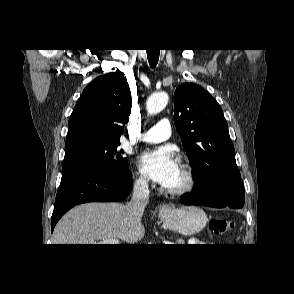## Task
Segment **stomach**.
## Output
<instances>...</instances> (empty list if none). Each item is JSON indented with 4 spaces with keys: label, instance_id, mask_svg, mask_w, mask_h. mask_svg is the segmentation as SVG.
<instances>
[{
    "label": "stomach",
    "instance_id": "stomach-1",
    "mask_svg": "<svg viewBox=\"0 0 294 294\" xmlns=\"http://www.w3.org/2000/svg\"><path fill=\"white\" fill-rule=\"evenodd\" d=\"M160 217L168 229L185 236L200 232L208 220L205 212L194 206L169 207L160 213Z\"/></svg>",
    "mask_w": 294,
    "mask_h": 294
}]
</instances>
